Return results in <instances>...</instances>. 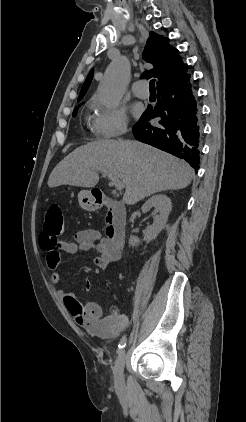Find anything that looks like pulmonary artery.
Masks as SVG:
<instances>
[{
  "label": "pulmonary artery",
  "instance_id": "obj_1",
  "mask_svg": "<svg viewBox=\"0 0 246 422\" xmlns=\"http://www.w3.org/2000/svg\"><path fill=\"white\" fill-rule=\"evenodd\" d=\"M133 93L142 99L149 97V90L145 81H136L132 84Z\"/></svg>",
  "mask_w": 246,
  "mask_h": 422
}]
</instances>
